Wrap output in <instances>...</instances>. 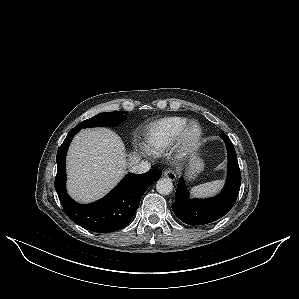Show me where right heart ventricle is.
I'll return each instance as SVG.
<instances>
[{"label":"right heart ventricle","mask_w":299,"mask_h":299,"mask_svg":"<svg viewBox=\"0 0 299 299\" xmlns=\"http://www.w3.org/2000/svg\"><path fill=\"white\" fill-rule=\"evenodd\" d=\"M185 117L173 116L151 123L145 134V144L153 155H162L175 143L183 128L187 125Z\"/></svg>","instance_id":"1"}]
</instances>
